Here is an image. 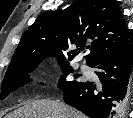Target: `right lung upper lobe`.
I'll use <instances>...</instances> for the list:
<instances>
[{"mask_svg": "<svg viewBox=\"0 0 133 118\" xmlns=\"http://www.w3.org/2000/svg\"><path fill=\"white\" fill-rule=\"evenodd\" d=\"M87 65L129 40L122 12L114 0H78L65 10L40 14L22 35L9 68L49 56L72 60L88 40ZM78 49L67 52L69 45Z\"/></svg>", "mask_w": 133, "mask_h": 118, "instance_id": "1", "label": "right lung upper lobe"}]
</instances>
